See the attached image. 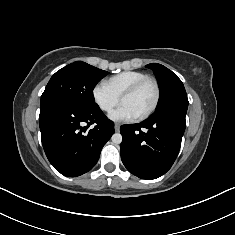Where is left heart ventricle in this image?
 Wrapping results in <instances>:
<instances>
[{
	"label": "left heart ventricle",
	"mask_w": 235,
	"mask_h": 235,
	"mask_svg": "<svg viewBox=\"0 0 235 235\" xmlns=\"http://www.w3.org/2000/svg\"><path fill=\"white\" fill-rule=\"evenodd\" d=\"M154 98V86L148 83L143 86L137 93L125 97L122 100V104L128 105L137 114V116H139L152 105Z\"/></svg>",
	"instance_id": "obj_1"
}]
</instances>
